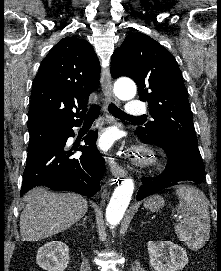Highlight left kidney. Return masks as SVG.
<instances>
[{
	"label": "left kidney",
	"mask_w": 221,
	"mask_h": 271,
	"mask_svg": "<svg viewBox=\"0 0 221 271\" xmlns=\"http://www.w3.org/2000/svg\"><path fill=\"white\" fill-rule=\"evenodd\" d=\"M150 265L156 271H177L188 263L185 249L173 241H148Z\"/></svg>",
	"instance_id": "left-kidney-1"
}]
</instances>
